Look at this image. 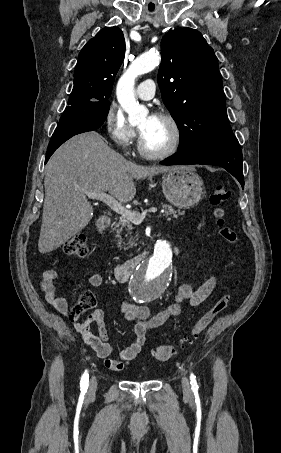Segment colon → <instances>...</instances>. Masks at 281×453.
<instances>
[{"label": "colon", "mask_w": 281, "mask_h": 453, "mask_svg": "<svg viewBox=\"0 0 281 453\" xmlns=\"http://www.w3.org/2000/svg\"><path fill=\"white\" fill-rule=\"evenodd\" d=\"M230 188L226 184H219L214 187L210 197L211 204L217 208L216 230L220 238L228 245H234L237 242V234L227 224V219L223 209L226 206ZM62 254L66 257H84L88 253L86 241L82 238H72L60 245ZM235 282V286L237 285ZM231 303V292H227L217 299L213 304L206 308L199 319L190 329L189 333L182 338V342L188 343L199 338L206 329L211 325L214 319L223 313ZM174 355L173 346L159 347L153 352L154 359L157 363H168Z\"/></svg>", "instance_id": "1"}]
</instances>
